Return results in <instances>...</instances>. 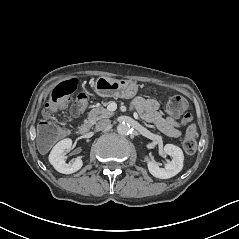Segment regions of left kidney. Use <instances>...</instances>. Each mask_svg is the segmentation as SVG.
Here are the masks:
<instances>
[{
    "label": "left kidney",
    "mask_w": 239,
    "mask_h": 239,
    "mask_svg": "<svg viewBox=\"0 0 239 239\" xmlns=\"http://www.w3.org/2000/svg\"><path fill=\"white\" fill-rule=\"evenodd\" d=\"M164 152L172 157V160L167 162L164 168H160L157 162L150 161L148 157H145L149 172L154 177L160 179L171 178L177 175L183 168L184 155L181 148L173 144H166Z\"/></svg>",
    "instance_id": "obj_1"
}]
</instances>
